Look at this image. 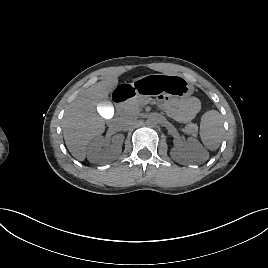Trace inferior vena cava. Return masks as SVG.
<instances>
[{
	"label": "inferior vena cava",
	"mask_w": 268,
	"mask_h": 268,
	"mask_svg": "<svg viewBox=\"0 0 268 268\" xmlns=\"http://www.w3.org/2000/svg\"><path fill=\"white\" fill-rule=\"evenodd\" d=\"M136 120L137 116L135 114H125L122 118H120V125L122 128H128L129 126L133 125Z\"/></svg>",
	"instance_id": "602c4592"
}]
</instances>
